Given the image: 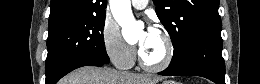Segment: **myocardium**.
<instances>
[{
  "label": "myocardium",
  "instance_id": "obj_1",
  "mask_svg": "<svg viewBox=\"0 0 260 84\" xmlns=\"http://www.w3.org/2000/svg\"><path fill=\"white\" fill-rule=\"evenodd\" d=\"M158 34L160 35V37L163 40L164 45L166 47V53H165L164 59L160 63L148 64L142 58L140 51H138L139 65L142 69H144L145 71H148V72H161V71L166 70L167 68L170 67V65L173 61V58H174L175 47H174V43H173L171 36L168 34V32H166L164 30H160L158 32Z\"/></svg>",
  "mask_w": 260,
  "mask_h": 84
}]
</instances>
